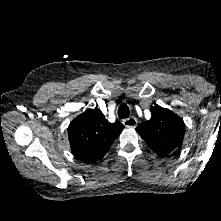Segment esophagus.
I'll use <instances>...</instances> for the list:
<instances>
[{
    "label": "esophagus",
    "mask_w": 221,
    "mask_h": 221,
    "mask_svg": "<svg viewBox=\"0 0 221 221\" xmlns=\"http://www.w3.org/2000/svg\"><path fill=\"white\" fill-rule=\"evenodd\" d=\"M123 124L127 128H135L137 126V119L135 117L124 119Z\"/></svg>",
    "instance_id": "34e87169"
}]
</instances>
